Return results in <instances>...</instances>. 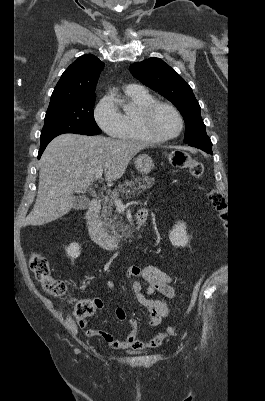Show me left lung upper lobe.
I'll use <instances>...</instances> for the list:
<instances>
[{"mask_svg":"<svg viewBox=\"0 0 265 401\" xmlns=\"http://www.w3.org/2000/svg\"><path fill=\"white\" fill-rule=\"evenodd\" d=\"M134 77L171 101L182 114L185 124V143L207 137L200 106L191 87L175 70L159 58L136 62L129 68Z\"/></svg>","mask_w":265,"mask_h":401,"instance_id":"1","label":"left lung upper lobe"}]
</instances>
